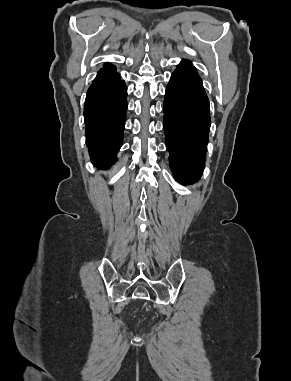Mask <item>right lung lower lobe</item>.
<instances>
[{
    "label": "right lung lower lobe",
    "mask_w": 291,
    "mask_h": 381,
    "mask_svg": "<svg viewBox=\"0 0 291 381\" xmlns=\"http://www.w3.org/2000/svg\"><path fill=\"white\" fill-rule=\"evenodd\" d=\"M127 87L116 67L106 63L100 69L85 100L86 142L91 161L106 169L116 161L123 141L127 110Z\"/></svg>",
    "instance_id": "obj_1"
}]
</instances>
